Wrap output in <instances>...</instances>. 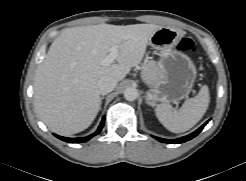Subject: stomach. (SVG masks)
<instances>
[{
	"label": "stomach",
	"mask_w": 246,
	"mask_h": 181,
	"mask_svg": "<svg viewBox=\"0 0 246 181\" xmlns=\"http://www.w3.org/2000/svg\"><path fill=\"white\" fill-rule=\"evenodd\" d=\"M183 36L181 30L162 27L149 40L150 46L159 51L158 66L161 76L148 83L150 90L146 95L148 105L154 107L158 102H178L186 98L194 86L197 69L193 61L175 46Z\"/></svg>",
	"instance_id": "0dacf381"
}]
</instances>
